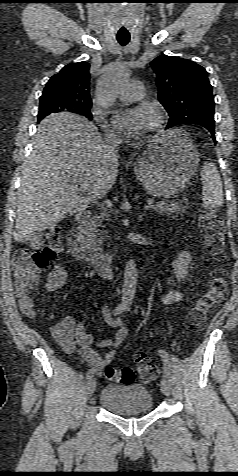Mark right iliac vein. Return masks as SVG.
I'll return each mask as SVG.
<instances>
[{"label":"right iliac vein","instance_id":"right-iliac-vein-1","mask_svg":"<svg viewBox=\"0 0 238 476\" xmlns=\"http://www.w3.org/2000/svg\"><path fill=\"white\" fill-rule=\"evenodd\" d=\"M96 385H97V380L95 378H91L88 380L87 386H86L87 398H90L93 395L96 389Z\"/></svg>","mask_w":238,"mask_h":476}]
</instances>
